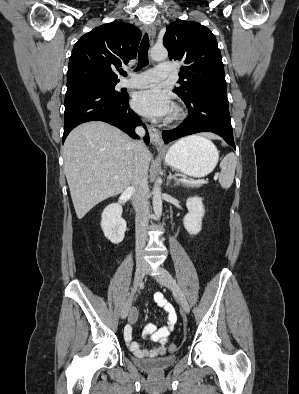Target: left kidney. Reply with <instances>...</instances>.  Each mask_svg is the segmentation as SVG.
<instances>
[{"instance_id": "left-kidney-1", "label": "left kidney", "mask_w": 299, "mask_h": 394, "mask_svg": "<svg viewBox=\"0 0 299 394\" xmlns=\"http://www.w3.org/2000/svg\"><path fill=\"white\" fill-rule=\"evenodd\" d=\"M188 213L183 219L184 227L189 233L197 234L202 228L205 210L200 197H190L186 201Z\"/></svg>"}]
</instances>
